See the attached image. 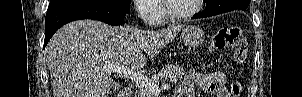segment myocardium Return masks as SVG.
<instances>
[{
  "label": "myocardium",
  "mask_w": 302,
  "mask_h": 97,
  "mask_svg": "<svg viewBox=\"0 0 302 97\" xmlns=\"http://www.w3.org/2000/svg\"><path fill=\"white\" fill-rule=\"evenodd\" d=\"M169 1L170 0H164L163 3L165 13L171 21H181L196 15L201 11L204 2V0H196L195 7L193 9L184 13L177 14L172 11Z\"/></svg>",
  "instance_id": "myocardium-1"
}]
</instances>
